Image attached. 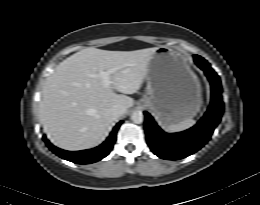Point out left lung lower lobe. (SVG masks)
Here are the masks:
<instances>
[{"label": "left lung lower lobe", "instance_id": "1", "mask_svg": "<svg viewBox=\"0 0 260 205\" xmlns=\"http://www.w3.org/2000/svg\"><path fill=\"white\" fill-rule=\"evenodd\" d=\"M195 56L197 55H194L196 64L205 72L212 89L211 104L204 117L186 131L168 134L157 126L149 113L144 112L147 143L151 151L162 159L178 160L195 153L207 143L221 120L224 104L219 76L210 64L197 60Z\"/></svg>", "mask_w": 260, "mask_h": 205}]
</instances>
